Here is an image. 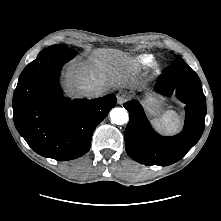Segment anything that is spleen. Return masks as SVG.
Wrapping results in <instances>:
<instances>
[{"label": "spleen", "instance_id": "spleen-1", "mask_svg": "<svg viewBox=\"0 0 221 221\" xmlns=\"http://www.w3.org/2000/svg\"><path fill=\"white\" fill-rule=\"evenodd\" d=\"M180 118L173 110L166 111L161 118L153 120V125L161 133L171 134L178 131Z\"/></svg>", "mask_w": 221, "mask_h": 221}]
</instances>
